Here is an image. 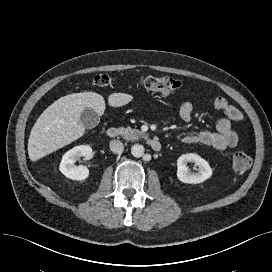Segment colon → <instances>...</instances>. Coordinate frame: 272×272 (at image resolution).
I'll return each instance as SVG.
<instances>
[{"label": "colon", "mask_w": 272, "mask_h": 272, "mask_svg": "<svg viewBox=\"0 0 272 272\" xmlns=\"http://www.w3.org/2000/svg\"><path fill=\"white\" fill-rule=\"evenodd\" d=\"M114 79L107 75H97L93 79V85L97 87H107L112 84ZM140 85L145 90L162 95H169L181 88V82L175 78L162 76H147L140 80ZM233 169L237 173L247 171L251 166L250 156L242 151L236 152L232 159Z\"/></svg>", "instance_id": "colon-1"}]
</instances>
